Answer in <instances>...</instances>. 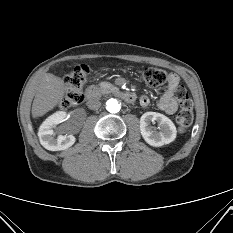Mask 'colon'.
I'll list each match as a JSON object with an SVG mask.
<instances>
[{"mask_svg": "<svg viewBox=\"0 0 233 233\" xmlns=\"http://www.w3.org/2000/svg\"><path fill=\"white\" fill-rule=\"evenodd\" d=\"M89 75V68L86 65L74 67L65 77V95L61 101V108L67 109L77 105L83 100V87ZM145 84L149 87H158L167 82V73L160 68L148 67L142 72ZM174 98L179 103L180 111L177 115L179 131L185 133L193 120L192 101L186 88L182 85L175 87Z\"/></svg>", "mask_w": 233, "mask_h": 233, "instance_id": "5ec220e1", "label": "colon"}]
</instances>
